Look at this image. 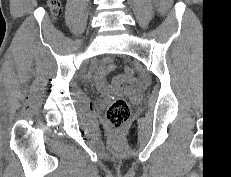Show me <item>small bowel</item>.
I'll return each mask as SVG.
<instances>
[{"label": "small bowel", "instance_id": "1", "mask_svg": "<svg viewBox=\"0 0 231 177\" xmlns=\"http://www.w3.org/2000/svg\"><path fill=\"white\" fill-rule=\"evenodd\" d=\"M115 65L109 58L105 59L104 64L97 70L95 76V83L97 88L103 93H111L114 91H121L124 88L125 81L121 75L116 76L111 83L106 80V75L114 71Z\"/></svg>", "mask_w": 231, "mask_h": 177}]
</instances>
